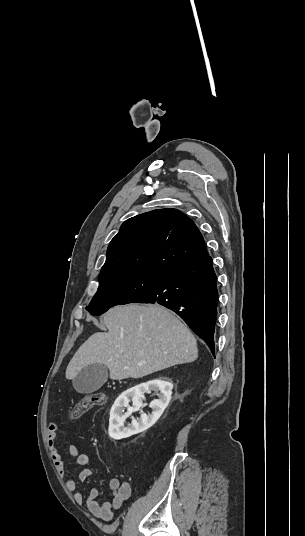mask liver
<instances>
[{
	"mask_svg": "<svg viewBox=\"0 0 305 536\" xmlns=\"http://www.w3.org/2000/svg\"><path fill=\"white\" fill-rule=\"evenodd\" d=\"M103 322L107 334L97 332L80 346L67 366L66 380H74L90 364L107 366L111 380H126L198 358L189 328L158 304L115 306Z\"/></svg>",
	"mask_w": 305,
	"mask_h": 536,
	"instance_id": "liver-1",
	"label": "liver"
}]
</instances>
